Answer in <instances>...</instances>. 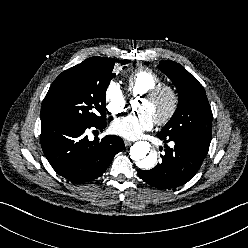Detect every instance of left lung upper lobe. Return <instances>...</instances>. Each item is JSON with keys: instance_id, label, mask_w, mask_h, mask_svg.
<instances>
[{"instance_id": "1", "label": "left lung upper lobe", "mask_w": 248, "mask_h": 248, "mask_svg": "<svg viewBox=\"0 0 248 248\" xmlns=\"http://www.w3.org/2000/svg\"><path fill=\"white\" fill-rule=\"evenodd\" d=\"M157 67L171 79L179 92L177 109L160 133L210 144L212 111L203 86L176 62L160 61Z\"/></svg>"}]
</instances>
